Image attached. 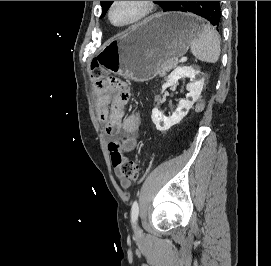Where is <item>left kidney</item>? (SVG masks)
I'll use <instances>...</instances> for the list:
<instances>
[{
	"label": "left kidney",
	"instance_id": "1",
	"mask_svg": "<svg viewBox=\"0 0 271 266\" xmlns=\"http://www.w3.org/2000/svg\"><path fill=\"white\" fill-rule=\"evenodd\" d=\"M182 77H187L190 79V83H188L186 86L188 94L186 95V99L179 101L178 107L173 112L172 116L165 117L158 109V107H155L152 110V121L155 124L157 130L161 132H165L173 125L178 124L187 115L193 104L200 97L204 84V79L201 77L200 70L187 66L178 67L168 76L166 85H175ZM189 98H191V100H189Z\"/></svg>",
	"mask_w": 271,
	"mask_h": 266
}]
</instances>
